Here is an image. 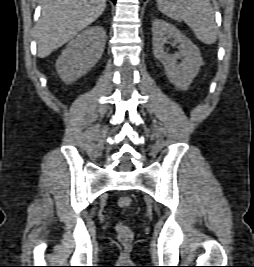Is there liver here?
<instances>
[{
    "label": "liver",
    "instance_id": "1",
    "mask_svg": "<svg viewBox=\"0 0 254 267\" xmlns=\"http://www.w3.org/2000/svg\"><path fill=\"white\" fill-rule=\"evenodd\" d=\"M42 13L36 26L39 58L74 38L106 8V0H41Z\"/></svg>",
    "mask_w": 254,
    "mask_h": 267
}]
</instances>
